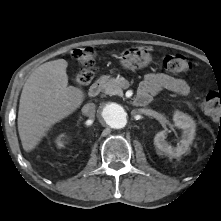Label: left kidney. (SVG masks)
<instances>
[{"label": "left kidney", "instance_id": "left-kidney-1", "mask_svg": "<svg viewBox=\"0 0 221 221\" xmlns=\"http://www.w3.org/2000/svg\"><path fill=\"white\" fill-rule=\"evenodd\" d=\"M174 126L182 129V139L176 147L171 146L166 139V131H160L155 135L154 145L163 153L173 157H179L183 155L192 143L195 137V122L187 114L181 111H175L173 115Z\"/></svg>", "mask_w": 221, "mask_h": 221}]
</instances>
